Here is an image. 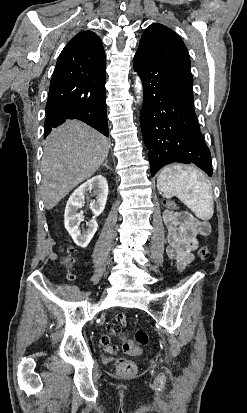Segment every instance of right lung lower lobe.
Masks as SVG:
<instances>
[{
  "label": "right lung lower lobe",
  "instance_id": "obj_1",
  "mask_svg": "<svg viewBox=\"0 0 247 413\" xmlns=\"http://www.w3.org/2000/svg\"><path fill=\"white\" fill-rule=\"evenodd\" d=\"M105 68L106 65L83 72L54 70L46 104L44 138L67 119H79L109 136Z\"/></svg>",
  "mask_w": 247,
  "mask_h": 413
}]
</instances>
